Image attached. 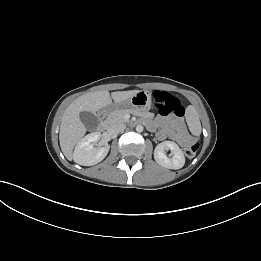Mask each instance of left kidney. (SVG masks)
<instances>
[{
  "label": "left kidney",
  "mask_w": 261,
  "mask_h": 261,
  "mask_svg": "<svg viewBox=\"0 0 261 261\" xmlns=\"http://www.w3.org/2000/svg\"><path fill=\"white\" fill-rule=\"evenodd\" d=\"M165 149H170L172 158H168ZM155 161L168 169H180L185 164V157L179 146L172 141H164L158 144L154 150Z\"/></svg>",
  "instance_id": "left-kidney-1"
}]
</instances>
